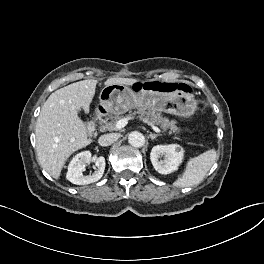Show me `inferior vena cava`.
<instances>
[{
  "instance_id": "obj_1",
  "label": "inferior vena cava",
  "mask_w": 264,
  "mask_h": 264,
  "mask_svg": "<svg viewBox=\"0 0 264 264\" xmlns=\"http://www.w3.org/2000/svg\"><path fill=\"white\" fill-rule=\"evenodd\" d=\"M117 139H118V136L116 134H111V133L104 134L99 137L98 143L99 145L106 147V146L113 144L115 141H117Z\"/></svg>"
}]
</instances>
